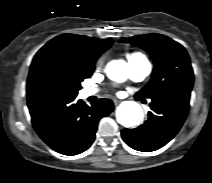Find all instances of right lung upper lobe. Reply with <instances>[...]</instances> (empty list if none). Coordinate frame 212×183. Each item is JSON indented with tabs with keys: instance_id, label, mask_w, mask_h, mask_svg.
Wrapping results in <instances>:
<instances>
[{
	"instance_id": "obj_1",
	"label": "right lung upper lobe",
	"mask_w": 212,
	"mask_h": 183,
	"mask_svg": "<svg viewBox=\"0 0 212 183\" xmlns=\"http://www.w3.org/2000/svg\"><path fill=\"white\" fill-rule=\"evenodd\" d=\"M112 43L113 40L111 38L102 40L75 34L59 35L37 52L33 59L31 70L36 62L49 52L61 54L84 69H94L97 58L110 48ZM27 98L31 99L32 97L27 96Z\"/></svg>"
}]
</instances>
